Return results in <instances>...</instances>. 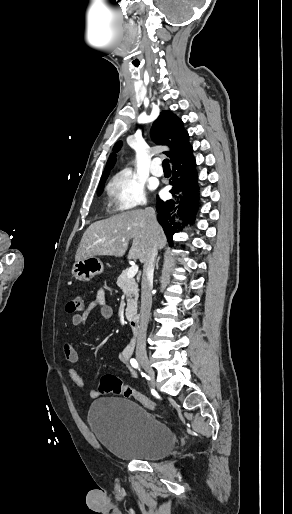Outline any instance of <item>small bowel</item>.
Instances as JSON below:
<instances>
[{
  "mask_svg": "<svg viewBox=\"0 0 292 514\" xmlns=\"http://www.w3.org/2000/svg\"><path fill=\"white\" fill-rule=\"evenodd\" d=\"M98 311L99 317L103 320H110L114 316L113 308L107 303L105 292L100 289L97 291L94 299L90 302L87 309L83 313L74 314L71 317V324L74 327H79L85 323L88 316L93 312ZM63 354L65 361L68 365L67 374L74 386L78 390H85V382L82 375L75 369L73 366L78 361V352L75 347L69 343H65L63 346ZM129 357L130 352L128 349H125L120 354V360L129 367ZM129 372L131 377L135 378L137 376L136 371L129 367ZM88 395L91 398H97L100 394L96 390H89Z\"/></svg>",
  "mask_w": 292,
  "mask_h": 514,
  "instance_id": "obj_1",
  "label": "small bowel"
}]
</instances>
